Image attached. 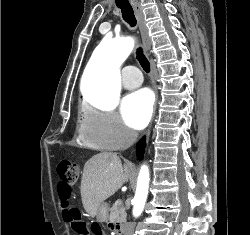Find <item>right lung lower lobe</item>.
I'll return each instance as SVG.
<instances>
[{
	"mask_svg": "<svg viewBox=\"0 0 250 235\" xmlns=\"http://www.w3.org/2000/svg\"><path fill=\"white\" fill-rule=\"evenodd\" d=\"M144 148H145V142H144V139H142L137 145V156L139 160L143 158Z\"/></svg>",
	"mask_w": 250,
	"mask_h": 235,
	"instance_id": "1",
	"label": "right lung lower lobe"
}]
</instances>
